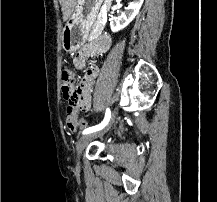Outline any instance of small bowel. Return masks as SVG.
<instances>
[{"mask_svg":"<svg viewBox=\"0 0 217 202\" xmlns=\"http://www.w3.org/2000/svg\"><path fill=\"white\" fill-rule=\"evenodd\" d=\"M110 45H111V37L109 35L102 34V35L98 36L97 38H95L94 40H92L91 42L86 44L79 51V53L77 54V56L74 59L75 67L79 68V69L82 68L84 66L85 59L87 56L102 54L109 49ZM98 72H99L98 68H90L86 72V74L83 78V83H82V88L85 91L84 92L85 95H89L88 94V88L90 87V85L93 84ZM84 106H87V107H85L83 109L88 111L90 109V106H96V101H84ZM66 116H76V121L79 119V114H78L77 109H76V114H66ZM85 125H83V126H85ZM81 127L82 126H80V128Z\"/></svg>","mask_w":217,"mask_h":202,"instance_id":"c3829d8e","label":"small bowel"}]
</instances>
